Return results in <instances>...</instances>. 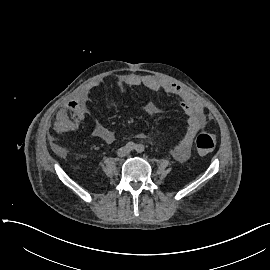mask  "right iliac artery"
Here are the masks:
<instances>
[{"label": "right iliac artery", "mask_w": 270, "mask_h": 270, "mask_svg": "<svg viewBox=\"0 0 270 270\" xmlns=\"http://www.w3.org/2000/svg\"><path fill=\"white\" fill-rule=\"evenodd\" d=\"M126 148L129 149V150H133V149L136 148V145H135V143H133V142H128V143L126 144Z\"/></svg>", "instance_id": "right-iliac-artery-1"}]
</instances>
